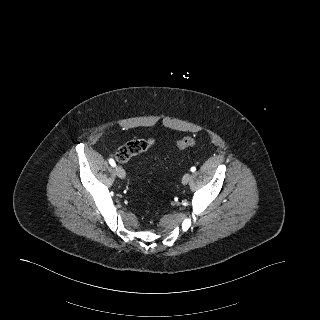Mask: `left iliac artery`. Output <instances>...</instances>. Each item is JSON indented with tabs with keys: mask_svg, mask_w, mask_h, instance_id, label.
<instances>
[{
	"mask_svg": "<svg viewBox=\"0 0 320 320\" xmlns=\"http://www.w3.org/2000/svg\"><path fill=\"white\" fill-rule=\"evenodd\" d=\"M191 171H192V172H195V171H196V168H195V167H191Z\"/></svg>",
	"mask_w": 320,
	"mask_h": 320,
	"instance_id": "44dca946",
	"label": "left iliac artery"
}]
</instances>
